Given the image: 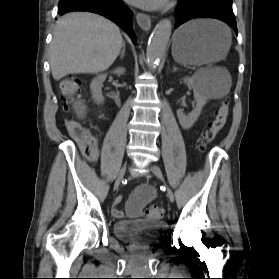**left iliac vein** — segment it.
<instances>
[{
  "instance_id": "obj_1",
  "label": "left iliac vein",
  "mask_w": 279,
  "mask_h": 279,
  "mask_svg": "<svg viewBox=\"0 0 279 279\" xmlns=\"http://www.w3.org/2000/svg\"><path fill=\"white\" fill-rule=\"evenodd\" d=\"M151 168H152L153 173L156 175V177H158L160 180H164L163 173L157 165H152ZM167 194H168L169 200L171 202H174V193L169 187H167Z\"/></svg>"
}]
</instances>
